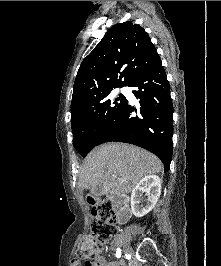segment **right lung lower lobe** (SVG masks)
I'll return each mask as SVG.
<instances>
[{
  "label": "right lung lower lobe",
  "mask_w": 221,
  "mask_h": 266,
  "mask_svg": "<svg viewBox=\"0 0 221 266\" xmlns=\"http://www.w3.org/2000/svg\"><path fill=\"white\" fill-rule=\"evenodd\" d=\"M129 86L135 88L132 93L139 99L140 107L127 101L96 145L109 141L137 145L158 156L164 171H168L173 152V104L161 61L138 75Z\"/></svg>",
  "instance_id": "right-lung-lower-lobe-1"
}]
</instances>
